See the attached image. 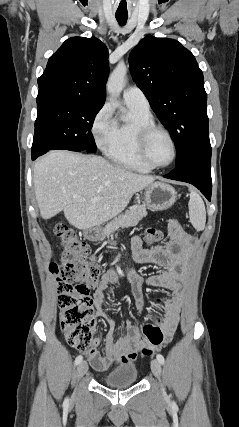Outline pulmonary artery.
<instances>
[{
  "instance_id": "e3ab8cb5",
  "label": "pulmonary artery",
  "mask_w": 239,
  "mask_h": 427,
  "mask_svg": "<svg viewBox=\"0 0 239 427\" xmlns=\"http://www.w3.org/2000/svg\"><path fill=\"white\" fill-rule=\"evenodd\" d=\"M123 100L128 106L150 111L148 99L138 87L131 86L126 88L123 92Z\"/></svg>"
}]
</instances>
